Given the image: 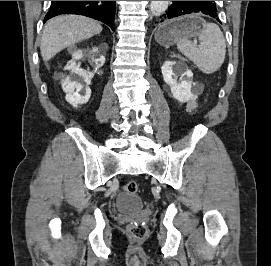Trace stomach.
Returning <instances> with one entry per match:
<instances>
[{"label": "stomach", "mask_w": 271, "mask_h": 266, "mask_svg": "<svg viewBox=\"0 0 271 266\" xmlns=\"http://www.w3.org/2000/svg\"><path fill=\"white\" fill-rule=\"evenodd\" d=\"M203 20L195 15H188L161 24L155 31V40L162 46L170 47L182 38L198 35L203 29Z\"/></svg>", "instance_id": "stomach-1"}]
</instances>
